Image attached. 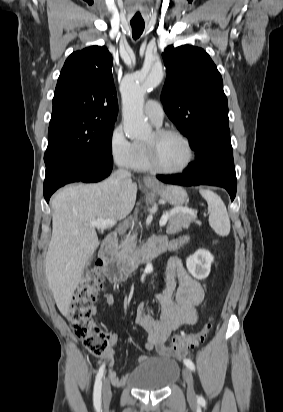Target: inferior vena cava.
<instances>
[{"mask_svg":"<svg viewBox=\"0 0 283 412\" xmlns=\"http://www.w3.org/2000/svg\"><path fill=\"white\" fill-rule=\"evenodd\" d=\"M113 176L118 178H130L131 173L125 169H118L113 173Z\"/></svg>","mask_w":283,"mask_h":412,"instance_id":"602c4592","label":"inferior vena cava"}]
</instances>
